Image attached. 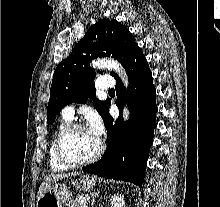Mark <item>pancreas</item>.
<instances>
[{
	"instance_id": "pancreas-1",
	"label": "pancreas",
	"mask_w": 220,
	"mask_h": 207,
	"mask_svg": "<svg viewBox=\"0 0 220 207\" xmlns=\"http://www.w3.org/2000/svg\"><path fill=\"white\" fill-rule=\"evenodd\" d=\"M69 207H88L85 198H78L70 202Z\"/></svg>"
}]
</instances>
